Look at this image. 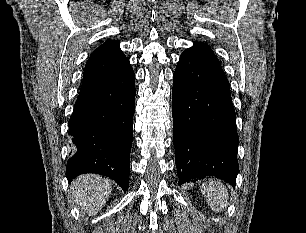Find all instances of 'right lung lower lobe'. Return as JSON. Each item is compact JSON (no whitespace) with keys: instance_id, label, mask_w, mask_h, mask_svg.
I'll list each match as a JSON object with an SVG mask.
<instances>
[{"instance_id":"98d812e1","label":"right lung lower lobe","mask_w":306,"mask_h":233,"mask_svg":"<svg viewBox=\"0 0 306 233\" xmlns=\"http://www.w3.org/2000/svg\"><path fill=\"white\" fill-rule=\"evenodd\" d=\"M134 99L131 67L112 83L79 94L68 122V181L80 174L96 173L128 190Z\"/></svg>"}]
</instances>
